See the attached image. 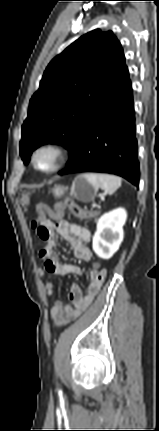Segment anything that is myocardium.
Here are the masks:
<instances>
[{
	"label": "myocardium",
	"mask_w": 159,
	"mask_h": 431,
	"mask_svg": "<svg viewBox=\"0 0 159 431\" xmlns=\"http://www.w3.org/2000/svg\"><path fill=\"white\" fill-rule=\"evenodd\" d=\"M43 151H50L54 155L53 164L47 169H41L37 164V156ZM68 151L64 145L56 141H45L38 144L31 152V163L35 170L41 173H53L57 171L66 161Z\"/></svg>",
	"instance_id": "obj_1"
}]
</instances>
